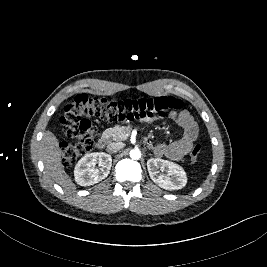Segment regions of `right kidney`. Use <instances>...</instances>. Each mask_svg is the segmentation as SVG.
<instances>
[{
  "label": "right kidney",
  "mask_w": 267,
  "mask_h": 267,
  "mask_svg": "<svg viewBox=\"0 0 267 267\" xmlns=\"http://www.w3.org/2000/svg\"><path fill=\"white\" fill-rule=\"evenodd\" d=\"M98 164L100 167L95 168ZM112 157L104 152H94L82 157L75 166V181L80 186L94 185L110 173Z\"/></svg>",
  "instance_id": "right-kidney-1"
}]
</instances>
